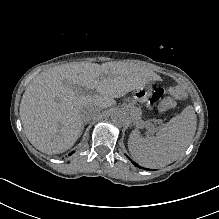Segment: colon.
Here are the masks:
<instances>
[{"label":"colon","instance_id":"5ec220e1","mask_svg":"<svg viewBox=\"0 0 219 219\" xmlns=\"http://www.w3.org/2000/svg\"><path fill=\"white\" fill-rule=\"evenodd\" d=\"M185 97L186 92L180 85L171 86L167 95L162 98L159 108L161 111H168L175 106L177 100H182Z\"/></svg>","mask_w":219,"mask_h":219}]
</instances>
